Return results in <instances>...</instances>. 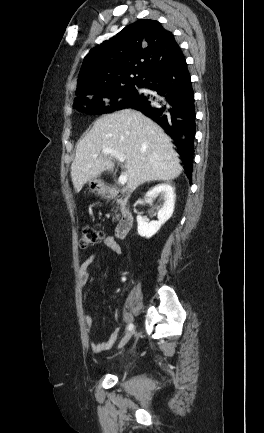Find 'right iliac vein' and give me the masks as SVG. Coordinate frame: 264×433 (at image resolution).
<instances>
[{
	"label": "right iliac vein",
	"mask_w": 264,
	"mask_h": 433,
	"mask_svg": "<svg viewBox=\"0 0 264 433\" xmlns=\"http://www.w3.org/2000/svg\"><path fill=\"white\" fill-rule=\"evenodd\" d=\"M133 333H134V331L130 332L129 334H127V335L122 339V341L120 342V344H119V346H118L119 349L123 348V347L127 344V342L130 340V338H131V336L133 335Z\"/></svg>",
	"instance_id": "1"
}]
</instances>
